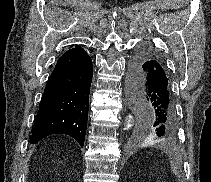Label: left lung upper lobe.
Listing matches in <instances>:
<instances>
[{"mask_svg":"<svg viewBox=\"0 0 211 182\" xmlns=\"http://www.w3.org/2000/svg\"><path fill=\"white\" fill-rule=\"evenodd\" d=\"M152 130H151V128H146V130H145V133H150Z\"/></svg>","mask_w":211,"mask_h":182,"instance_id":"1","label":"left lung upper lobe"}]
</instances>
